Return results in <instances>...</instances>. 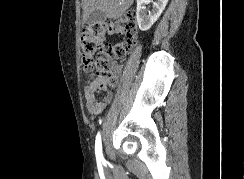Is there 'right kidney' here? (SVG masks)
Listing matches in <instances>:
<instances>
[{
  "instance_id": "right-kidney-1",
  "label": "right kidney",
  "mask_w": 244,
  "mask_h": 179,
  "mask_svg": "<svg viewBox=\"0 0 244 179\" xmlns=\"http://www.w3.org/2000/svg\"><path fill=\"white\" fill-rule=\"evenodd\" d=\"M150 2H152V0H137L136 20L142 32L150 30L151 26L157 22L163 10H165V6H167L168 0H157V2H152L153 10L147 14L145 6L146 4H150Z\"/></svg>"
}]
</instances>
